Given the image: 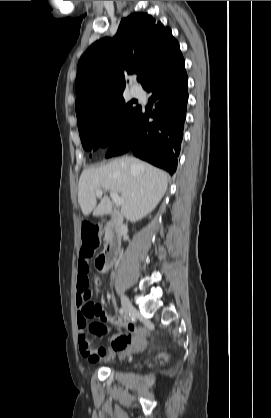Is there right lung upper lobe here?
I'll list each match as a JSON object with an SVG mask.
<instances>
[{"mask_svg":"<svg viewBox=\"0 0 271 418\" xmlns=\"http://www.w3.org/2000/svg\"><path fill=\"white\" fill-rule=\"evenodd\" d=\"M183 60L179 43L168 27L147 13L124 18L113 38H104L82 55L76 77V114L123 95L125 75H142L146 89Z\"/></svg>","mask_w":271,"mask_h":418,"instance_id":"right-lung-upper-lobe-1","label":"right lung upper lobe"}]
</instances>
